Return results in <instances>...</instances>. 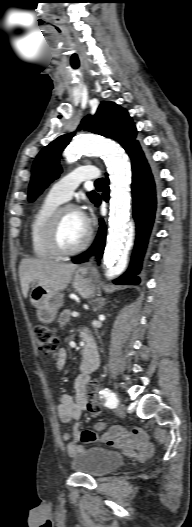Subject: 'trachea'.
<instances>
[{
    "label": "trachea",
    "mask_w": 192,
    "mask_h": 527,
    "mask_svg": "<svg viewBox=\"0 0 192 527\" xmlns=\"http://www.w3.org/2000/svg\"><path fill=\"white\" fill-rule=\"evenodd\" d=\"M95 185L96 186H103V178H100V179L96 180Z\"/></svg>",
    "instance_id": "trachea-1"
}]
</instances>
